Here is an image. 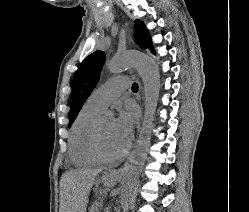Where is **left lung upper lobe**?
<instances>
[{
  "instance_id": "obj_1",
  "label": "left lung upper lobe",
  "mask_w": 249,
  "mask_h": 212,
  "mask_svg": "<svg viewBox=\"0 0 249 212\" xmlns=\"http://www.w3.org/2000/svg\"><path fill=\"white\" fill-rule=\"evenodd\" d=\"M135 40L141 48H150L153 53L151 37L143 22L135 21ZM105 62V54L103 51H96L86 57L77 70L72 86L69 111V126L72 125L77 117L82 105L96 86L100 71Z\"/></svg>"
}]
</instances>
